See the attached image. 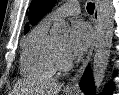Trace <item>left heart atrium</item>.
Segmentation results:
<instances>
[{
  "instance_id": "1",
  "label": "left heart atrium",
  "mask_w": 119,
  "mask_h": 95,
  "mask_svg": "<svg viewBox=\"0 0 119 95\" xmlns=\"http://www.w3.org/2000/svg\"><path fill=\"white\" fill-rule=\"evenodd\" d=\"M91 39L90 26L82 20H75L72 23L70 36L65 45V55L70 59L80 57L86 51Z\"/></svg>"
}]
</instances>
